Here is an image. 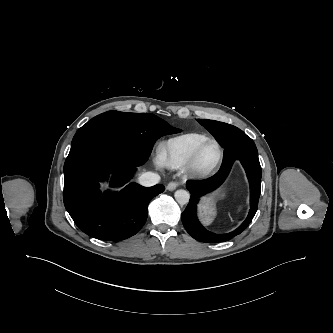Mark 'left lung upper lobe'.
<instances>
[{
  "instance_id": "left-lung-upper-lobe-1",
  "label": "left lung upper lobe",
  "mask_w": 333,
  "mask_h": 333,
  "mask_svg": "<svg viewBox=\"0 0 333 333\" xmlns=\"http://www.w3.org/2000/svg\"><path fill=\"white\" fill-rule=\"evenodd\" d=\"M198 122L215 137L222 147H225L233 136L242 132L239 128L223 122L205 119H198Z\"/></svg>"
}]
</instances>
